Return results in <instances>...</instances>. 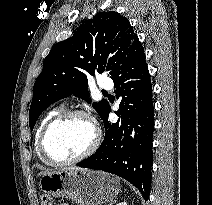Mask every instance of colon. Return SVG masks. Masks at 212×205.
I'll return each instance as SVG.
<instances>
[{
    "label": "colon",
    "instance_id": "obj_1",
    "mask_svg": "<svg viewBox=\"0 0 212 205\" xmlns=\"http://www.w3.org/2000/svg\"><path fill=\"white\" fill-rule=\"evenodd\" d=\"M41 205H53L51 196L48 194H43L41 197Z\"/></svg>",
    "mask_w": 212,
    "mask_h": 205
}]
</instances>
